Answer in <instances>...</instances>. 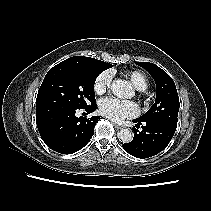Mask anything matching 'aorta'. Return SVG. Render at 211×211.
I'll use <instances>...</instances> for the list:
<instances>
[{"label":"aorta","mask_w":211,"mask_h":211,"mask_svg":"<svg viewBox=\"0 0 211 211\" xmlns=\"http://www.w3.org/2000/svg\"><path fill=\"white\" fill-rule=\"evenodd\" d=\"M111 89L118 98H130L133 95L131 84L121 79H115ZM118 139L122 143H130L133 139V132L130 129H122L118 132Z\"/></svg>","instance_id":"762f6f07"}]
</instances>
